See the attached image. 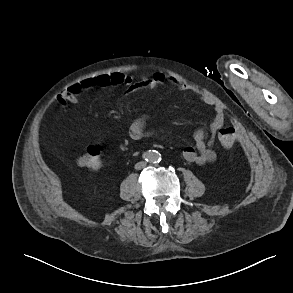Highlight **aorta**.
<instances>
[{
    "label": "aorta",
    "instance_id": "762f6f07",
    "mask_svg": "<svg viewBox=\"0 0 293 293\" xmlns=\"http://www.w3.org/2000/svg\"><path fill=\"white\" fill-rule=\"evenodd\" d=\"M147 159L150 162L157 163L161 159V154L158 151H154V150L153 151H150L147 154Z\"/></svg>",
    "mask_w": 293,
    "mask_h": 293
}]
</instances>
